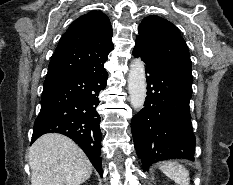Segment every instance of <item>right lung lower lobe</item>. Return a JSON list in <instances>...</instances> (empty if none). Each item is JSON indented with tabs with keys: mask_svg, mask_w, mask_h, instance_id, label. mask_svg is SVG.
I'll list each match as a JSON object with an SVG mask.
<instances>
[{
	"mask_svg": "<svg viewBox=\"0 0 233 185\" xmlns=\"http://www.w3.org/2000/svg\"><path fill=\"white\" fill-rule=\"evenodd\" d=\"M104 67L48 77L41 110L34 123L32 142L44 133L58 132L73 139L102 177L98 94L106 87Z\"/></svg>",
	"mask_w": 233,
	"mask_h": 185,
	"instance_id": "1",
	"label": "right lung lower lobe"
}]
</instances>
